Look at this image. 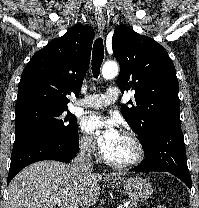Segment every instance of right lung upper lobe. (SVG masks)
Returning <instances> with one entry per match:
<instances>
[{"mask_svg": "<svg viewBox=\"0 0 199 208\" xmlns=\"http://www.w3.org/2000/svg\"><path fill=\"white\" fill-rule=\"evenodd\" d=\"M93 39V28L76 24L36 52L22 73L16 111L28 107L67 108L66 95H79Z\"/></svg>", "mask_w": 199, "mask_h": 208, "instance_id": "1", "label": "right lung upper lobe"}]
</instances>
